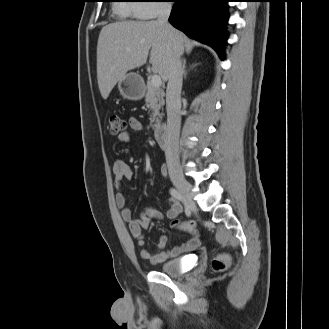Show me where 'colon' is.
Returning a JSON list of instances; mask_svg holds the SVG:
<instances>
[{"instance_id": "colon-1", "label": "colon", "mask_w": 329, "mask_h": 329, "mask_svg": "<svg viewBox=\"0 0 329 329\" xmlns=\"http://www.w3.org/2000/svg\"><path fill=\"white\" fill-rule=\"evenodd\" d=\"M109 125H110V133L112 135L121 134L122 132H124L126 128L125 121L118 115L110 116ZM172 226L193 235L198 234L197 225L193 220H187V221L174 220L172 222ZM230 263L231 260L228 254H220L212 260L211 265L215 271L222 272L229 268Z\"/></svg>"}]
</instances>
